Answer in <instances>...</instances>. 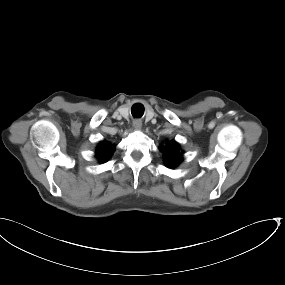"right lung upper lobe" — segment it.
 Here are the masks:
<instances>
[{"instance_id": "1", "label": "right lung upper lobe", "mask_w": 285, "mask_h": 285, "mask_svg": "<svg viewBox=\"0 0 285 285\" xmlns=\"http://www.w3.org/2000/svg\"><path fill=\"white\" fill-rule=\"evenodd\" d=\"M114 146L107 143L106 141H101L96 149V157L101 162H106L113 154Z\"/></svg>"}]
</instances>
